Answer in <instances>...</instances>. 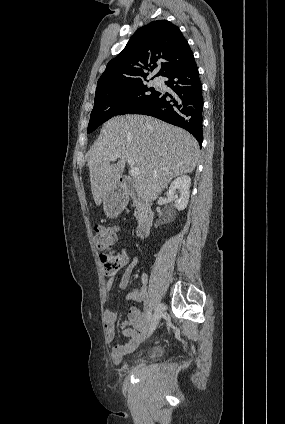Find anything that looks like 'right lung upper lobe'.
Here are the masks:
<instances>
[{"label":"right lung upper lobe","mask_w":285,"mask_h":424,"mask_svg":"<svg viewBox=\"0 0 285 424\" xmlns=\"http://www.w3.org/2000/svg\"><path fill=\"white\" fill-rule=\"evenodd\" d=\"M193 53L180 29L167 20L139 28L125 48L108 64L97 89L146 80L150 69L160 66L156 76H166L184 66Z\"/></svg>","instance_id":"obj_1"}]
</instances>
